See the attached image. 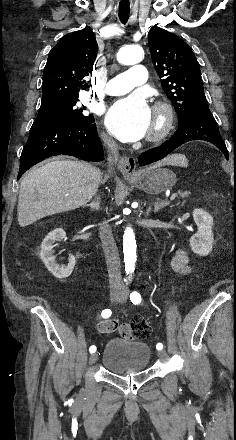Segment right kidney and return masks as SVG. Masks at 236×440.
Returning <instances> with one entry per match:
<instances>
[{
    "mask_svg": "<svg viewBox=\"0 0 236 440\" xmlns=\"http://www.w3.org/2000/svg\"><path fill=\"white\" fill-rule=\"evenodd\" d=\"M66 236L62 228H57L51 231L43 240L41 244L40 257L46 268L58 279H65L71 275L76 264V259L70 255L67 266H59L57 264L56 256H54V244L61 241Z\"/></svg>",
    "mask_w": 236,
    "mask_h": 440,
    "instance_id": "right-kidney-1",
    "label": "right kidney"
}]
</instances>
